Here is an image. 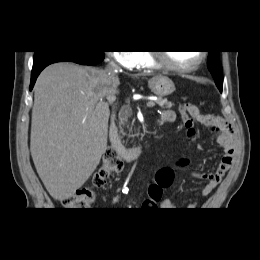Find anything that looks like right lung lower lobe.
<instances>
[{
    "label": "right lung lower lobe",
    "mask_w": 260,
    "mask_h": 260,
    "mask_svg": "<svg viewBox=\"0 0 260 260\" xmlns=\"http://www.w3.org/2000/svg\"><path fill=\"white\" fill-rule=\"evenodd\" d=\"M104 59L103 51L82 52V51H60L46 52L40 57L34 59L31 74L30 90L33 88L35 81L40 72L48 65L61 62L71 61L82 65H95Z\"/></svg>",
    "instance_id": "right-lung-lower-lobe-1"
}]
</instances>
